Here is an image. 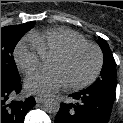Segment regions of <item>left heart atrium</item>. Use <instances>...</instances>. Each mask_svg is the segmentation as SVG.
<instances>
[{
  "mask_svg": "<svg viewBox=\"0 0 123 123\" xmlns=\"http://www.w3.org/2000/svg\"><path fill=\"white\" fill-rule=\"evenodd\" d=\"M66 85L64 75L57 69L37 71L25 80L28 92L42 96L50 95Z\"/></svg>",
  "mask_w": 123,
  "mask_h": 123,
  "instance_id": "left-heart-atrium-1",
  "label": "left heart atrium"
}]
</instances>
